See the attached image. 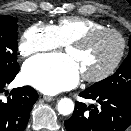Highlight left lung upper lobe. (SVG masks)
Returning a JSON list of instances; mask_svg holds the SVG:
<instances>
[{"label": "left lung upper lobe", "instance_id": "1", "mask_svg": "<svg viewBox=\"0 0 131 131\" xmlns=\"http://www.w3.org/2000/svg\"><path fill=\"white\" fill-rule=\"evenodd\" d=\"M88 89L94 92L131 97V36L129 38V54L116 73Z\"/></svg>", "mask_w": 131, "mask_h": 131}]
</instances>
